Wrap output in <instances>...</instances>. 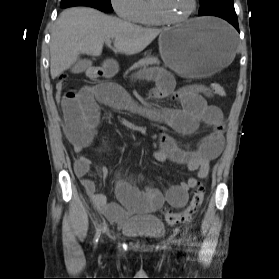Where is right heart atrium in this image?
Segmentation results:
<instances>
[{
    "mask_svg": "<svg viewBox=\"0 0 279 279\" xmlns=\"http://www.w3.org/2000/svg\"><path fill=\"white\" fill-rule=\"evenodd\" d=\"M142 0H110L115 13L126 21L136 22Z\"/></svg>",
    "mask_w": 279,
    "mask_h": 279,
    "instance_id": "1",
    "label": "right heart atrium"
}]
</instances>
